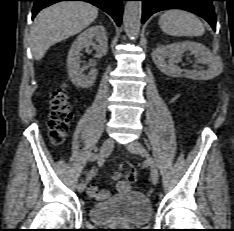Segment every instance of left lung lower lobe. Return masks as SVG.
I'll list each match as a JSON object with an SVG mask.
<instances>
[{
    "instance_id": "0a47b994",
    "label": "left lung lower lobe",
    "mask_w": 234,
    "mask_h": 231,
    "mask_svg": "<svg viewBox=\"0 0 234 231\" xmlns=\"http://www.w3.org/2000/svg\"><path fill=\"white\" fill-rule=\"evenodd\" d=\"M142 1V23L153 13L166 9H184L204 18L215 30L216 16L212 1L215 0H139Z\"/></svg>"
}]
</instances>
